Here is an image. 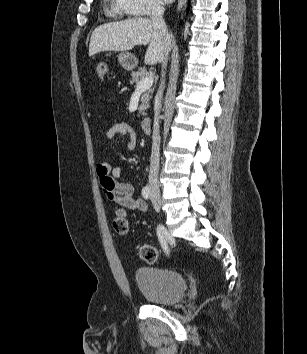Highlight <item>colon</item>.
Masks as SVG:
<instances>
[{"label": "colon", "instance_id": "1", "mask_svg": "<svg viewBox=\"0 0 307 354\" xmlns=\"http://www.w3.org/2000/svg\"><path fill=\"white\" fill-rule=\"evenodd\" d=\"M109 71V63L105 60L98 61L95 64V72L100 78H105ZM112 225L114 230L119 235H126L129 230L128 214L124 209H117L113 216ZM139 257L148 263H156L161 257V252L158 248L143 244L138 248Z\"/></svg>", "mask_w": 307, "mask_h": 354}]
</instances>
